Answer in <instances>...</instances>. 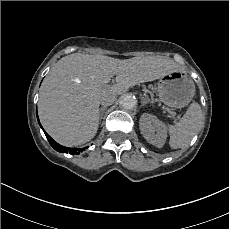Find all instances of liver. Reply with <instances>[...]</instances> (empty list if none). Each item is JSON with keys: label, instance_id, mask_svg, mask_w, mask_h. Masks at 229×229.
Returning a JSON list of instances; mask_svg holds the SVG:
<instances>
[{"label": "liver", "instance_id": "liver-1", "mask_svg": "<svg viewBox=\"0 0 229 229\" xmlns=\"http://www.w3.org/2000/svg\"><path fill=\"white\" fill-rule=\"evenodd\" d=\"M183 70L161 57L119 60L103 55L71 54L61 58L43 80L38 114L45 131L59 144L71 147L90 141L99 126V105L139 83ZM184 71V70H183ZM116 75V84L110 86Z\"/></svg>", "mask_w": 229, "mask_h": 229}]
</instances>
